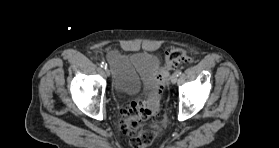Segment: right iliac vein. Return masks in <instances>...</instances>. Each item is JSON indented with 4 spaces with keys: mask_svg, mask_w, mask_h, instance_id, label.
<instances>
[{
    "mask_svg": "<svg viewBox=\"0 0 279 148\" xmlns=\"http://www.w3.org/2000/svg\"><path fill=\"white\" fill-rule=\"evenodd\" d=\"M104 73L106 76H110V74H111V72L108 68L105 69Z\"/></svg>",
    "mask_w": 279,
    "mask_h": 148,
    "instance_id": "right-iliac-vein-1",
    "label": "right iliac vein"
}]
</instances>
